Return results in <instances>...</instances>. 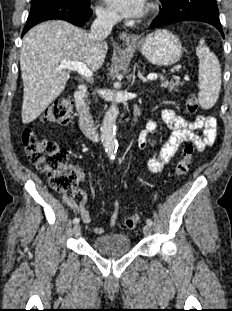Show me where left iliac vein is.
Masks as SVG:
<instances>
[{
  "label": "left iliac vein",
  "mask_w": 232,
  "mask_h": 311,
  "mask_svg": "<svg viewBox=\"0 0 232 311\" xmlns=\"http://www.w3.org/2000/svg\"><path fill=\"white\" fill-rule=\"evenodd\" d=\"M151 226L150 225H146V226H144V228H143V233L145 234V235H149L150 233H151Z\"/></svg>",
  "instance_id": "1"
}]
</instances>
